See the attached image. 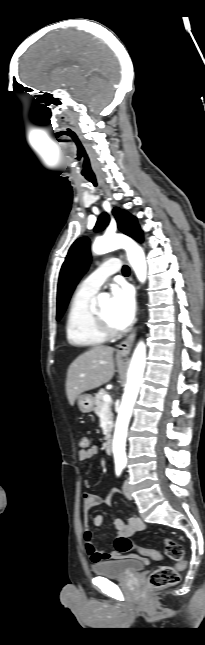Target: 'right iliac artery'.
Listing matches in <instances>:
<instances>
[{
	"label": "right iliac artery",
	"instance_id": "right-iliac-artery-1",
	"mask_svg": "<svg viewBox=\"0 0 205 645\" xmlns=\"http://www.w3.org/2000/svg\"><path fill=\"white\" fill-rule=\"evenodd\" d=\"M122 468H123L122 466H116V474L118 476L121 474Z\"/></svg>",
	"mask_w": 205,
	"mask_h": 645
}]
</instances>
